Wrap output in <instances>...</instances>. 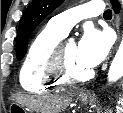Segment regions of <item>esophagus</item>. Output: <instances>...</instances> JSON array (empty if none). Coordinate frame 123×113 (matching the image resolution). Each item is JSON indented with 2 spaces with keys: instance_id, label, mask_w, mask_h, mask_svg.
<instances>
[{
  "instance_id": "obj_1",
  "label": "esophagus",
  "mask_w": 123,
  "mask_h": 113,
  "mask_svg": "<svg viewBox=\"0 0 123 113\" xmlns=\"http://www.w3.org/2000/svg\"><path fill=\"white\" fill-rule=\"evenodd\" d=\"M114 22H115V26H116V29H117V32H118V37H119L120 36V17H119L118 14L114 15ZM84 95L92 96L93 93H84Z\"/></svg>"
}]
</instances>
